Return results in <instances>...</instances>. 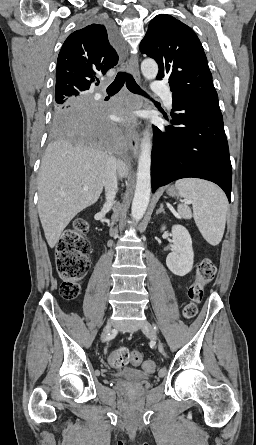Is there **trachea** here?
Returning a JSON list of instances; mask_svg holds the SVG:
<instances>
[{
  "label": "trachea",
  "instance_id": "obj_1",
  "mask_svg": "<svg viewBox=\"0 0 256 445\" xmlns=\"http://www.w3.org/2000/svg\"><path fill=\"white\" fill-rule=\"evenodd\" d=\"M124 83H126L127 88L131 92L136 94L146 95V93L142 89H140V87L137 85L132 75L126 72H119L117 74L114 81L107 88L108 95H113L117 93L123 87Z\"/></svg>",
  "mask_w": 256,
  "mask_h": 445
}]
</instances>
